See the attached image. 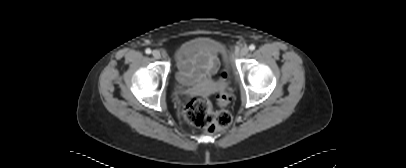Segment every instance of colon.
Segmentation results:
<instances>
[{
    "label": "colon",
    "instance_id": "obj_1",
    "mask_svg": "<svg viewBox=\"0 0 406 168\" xmlns=\"http://www.w3.org/2000/svg\"><path fill=\"white\" fill-rule=\"evenodd\" d=\"M225 77L224 72L219 74L220 85L217 100L220 106L228 105L231 99L224 83ZM181 115L187 123L204 129L208 133L225 129L232 123V116L228 111H214L209 99L202 95L188 98L182 107Z\"/></svg>",
    "mask_w": 406,
    "mask_h": 168
}]
</instances>
